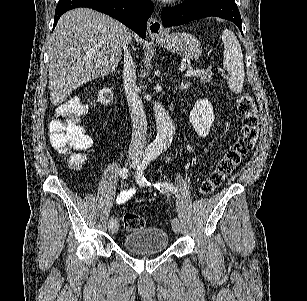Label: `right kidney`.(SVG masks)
I'll return each instance as SVG.
<instances>
[{
    "mask_svg": "<svg viewBox=\"0 0 307 301\" xmlns=\"http://www.w3.org/2000/svg\"><path fill=\"white\" fill-rule=\"evenodd\" d=\"M113 98H114V92L112 88H100V90H98L97 100H99V102H102L104 106L110 104Z\"/></svg>",
    "mask_w": 307,
    "mask_h": 301,
    "instance_id": "ca27d5eb",
    "label": "right kidney"
}]
</instances>
